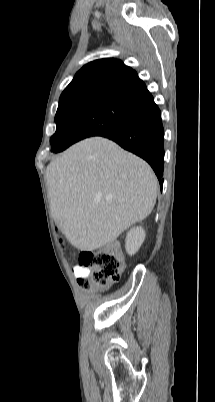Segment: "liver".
Masks as SVG:
<instances>
[{"mask_svg": "<svg viewBox=\"0 0 215 402\" xmlns=\"http://www.w3.org/2000/svg\"><path fill=\"white\" fill-rule=\"evenodd\" d=\"M46 180L58 228L81 251L113 243L144 220L158 191L144 160L102 137L68 148L48 164Z\"/></svg>", "mask_w": 215, "mask_h": 402, "instance_id": "1", "label": "liver"}]
</instances>
